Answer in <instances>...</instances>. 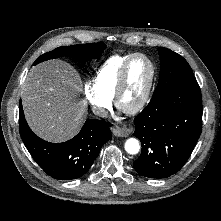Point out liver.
<instances>
[{"instance_id":"1","label":"liver","mask_w":221,"mask_h":221,"mask_svg":"<svg viewBox=\"0 0 221 221\" xmlns=\"http://www.w3.org/2000/svg\"><path fill=\"white\" fill-rule=\"evenodd\" d=\"M82 88L78 72L62 60L33 67L21 91L24 114L32 131L54 143L74 137L87 115L86 102L77 98Z\"/></svg>"}]
</instances>
